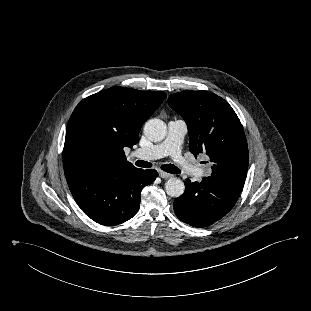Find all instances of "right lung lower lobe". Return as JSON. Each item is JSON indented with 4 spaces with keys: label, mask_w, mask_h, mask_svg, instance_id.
<instances>
[{
    "label": "right lung lower lobe",
    "mask_w": 311,
    "mask_h": 311,
    "mask_svg": "<svg viewBox=\"0 0 311 311\" xmlns=\"http://www.w3.org/2000/svg\"><path fill=\"white\" fill-rule=\"evenodd\" d=\"M157 176L152 169L97 166L66 175V180L75 201L88 217L101 225L113 226L137 213L141 190Z\"/></svg>",
    "instance_id": "obj_1"
}]
</instances>
